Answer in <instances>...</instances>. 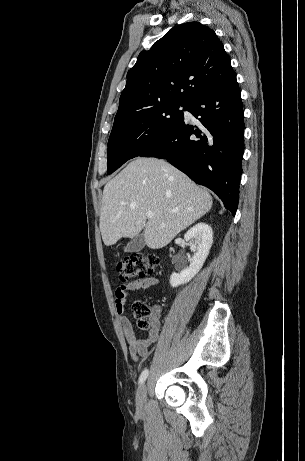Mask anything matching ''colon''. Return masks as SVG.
Here are the masks:
<instances>
[{"label":"colon","mask_w":305,"mask_h":461,"mask_svg":"<svg viewBox=\"0 0 305 461\" xmlns=\"http://www.w3.org/2000/svg\"><path fill=\"white\" fill-rule=\"evenodd\" d=\"M159 264L155 255L133 254L115 263V269L121 281H129L134 278L151 277ZM133 315L138 319L142 329H148L151 325L152 311L144 301H135L132 304Z\"/></svg>","instance_id":"colon-1"}]
</instances>
